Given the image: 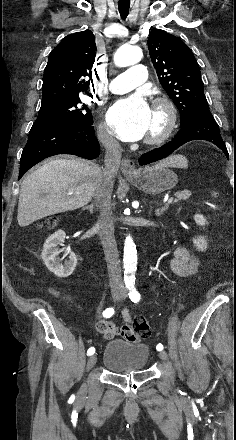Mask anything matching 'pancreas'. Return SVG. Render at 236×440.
<instances>
[{"instance_id":"1","label":"pancreas","mask_w":236,"mask_h":440,"mask_svg":"<svg viewBox=\"0 0 236 440\" xmlns=\"http://www.w3.org/2000/svg\"><path fill=\"white\" fill-rule=\"evenodd\" d=\"M176 199L174 200L175 203L181 201V200H187L191 196V192L189 190H184L181 192H177L175 194Z\"/></svg>"}]
</instances>
